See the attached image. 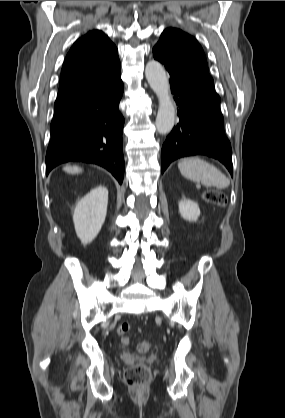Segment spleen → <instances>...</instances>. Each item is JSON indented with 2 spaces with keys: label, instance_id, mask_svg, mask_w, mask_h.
I'll list each match as a JSON object with an SVG mask.
<instances>
[{
  "label": "spleen",
  "instance_id": "obj_1",
  "mask_svg": "<svg viewBox=\"0 0 285 418\" xmlns=\"http://www.w3.org/2000/svg\"><path fill=\"white\" fill-rule=\"evenodd\" d=\"M181 174L205 186L224 189L229 186V179L214 165L198 157L185 158L178 164Z\"/></svg>",
  "mask_w": 285,
  "mask_h": 418
}]
</instances>
